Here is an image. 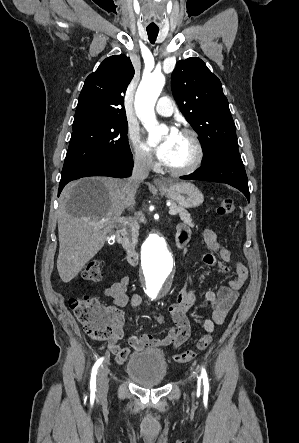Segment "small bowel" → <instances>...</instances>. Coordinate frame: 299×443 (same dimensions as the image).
Segmentation results:
<instances>
[{
    "label": "small bowel",
    "mask_w": 299,
    "mask_h": 443,
    "mask_svg": "<svg viewBox=\"0 0 299 443\" xmlns=\"http://www.w3.org/2000/svg\"><path fill=\"white\" fill-rule=\"evenodd\" d=\"M190 235V228L186 224H178L177 240L187 243ZM203 239L208 250L202 256L204 263L217 267L223 273L234 271V276L230 279L228 285L221 286L217 292L209 290L205 293V301L212 307V316L204 321L203 326L207 332H213L215 325H222L224 323L228 313L238 299L239 291L248 280L249 273L242 263L235 262L232 264L231 253L220 245L217 234L213 230L206 229L203 232ZM213 253H218L219 257L217 258ZM129 284L130 277L124 276L104 291V295L112 299L113 306L111 309L117 317L113 338L107 345L108 351L119 361H123L128 358L132 349L141 350L145 347L163 348L170 345L178 348L183 345L190 337L188 314L196 302L195 291L185 288L178 292L176 301L168 307L172 326L164 336L153 337L150 334L132 335L129 338V347H121L118 344V341L123 337L122 327L125 321V314L121 308L128 304L131 307H138L142 303L140 294L134 293L130 297L126 294ZM156 318L160 323L164 322L163 316L157 315Z\"/></svg>",
    "instance_id": "1"
}]
</instances>
